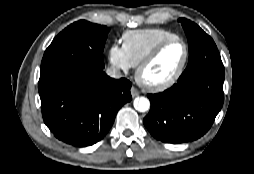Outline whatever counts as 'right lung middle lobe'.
Masks as SVG:
<instances>
[{"label":"right lung middle lobe","mask_w":254,"mask_h":174,"mask_svg":"<svg viewBox=\"0 0 254 174\" xmlns=\"http://www.w3.org/2000/svg\"><path fill=\"white\" fill-rule=\"evenodd\" d=\"M109 28L77 21L59 33L46 49L38 85L76 70L104 68L103 49Z\"/></svg>","instance_id":"obj_1"}]
</instances>
